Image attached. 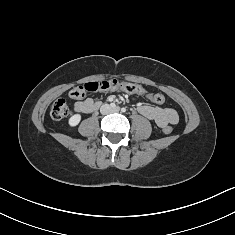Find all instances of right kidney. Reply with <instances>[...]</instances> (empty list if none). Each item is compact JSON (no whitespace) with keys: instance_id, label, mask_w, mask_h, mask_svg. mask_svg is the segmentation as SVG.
I'll return each mask as SVG.
<instances>
[{"instance_id":"obj_1","label":"right kidney","mask_w":235,"mask_h":235,"mask_svg":"<svg viewBox=\"0 0 235 235\" xmlns=\"http://www.w3.org/2000/svg\"><path fill=\"white\" fill-rule=\"evenodd\" d=\"M80 120H81V115L75 114L72 117H70L68 123L71 127H75L79 124Z\"/></svg>"}]
</instances>
